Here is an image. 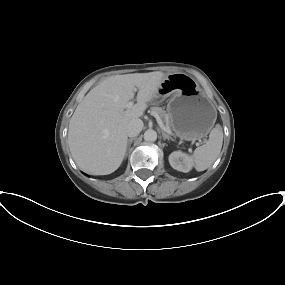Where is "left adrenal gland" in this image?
Returning a JSON list of instances; mask_svg holds the SVG:
<instances>
[{"label": "left adrenal gland", "instance_id": "1", "mask_svg": "<svg viewBox=\"0 0 285 285\" xmlns=\"http://www.w3.org/2000/svg\"><path fill=\"white\" fill-rule=\"evenodd\" d=\"M162 136H163V139L164 140H172L173 141V138L172 137H170L168 134H166L164 131H162Z\"/></svg>", "mask_w": 285, "mask_h": 285}]
</instances>
